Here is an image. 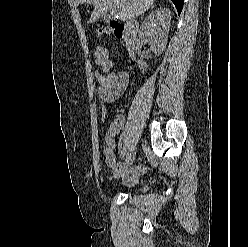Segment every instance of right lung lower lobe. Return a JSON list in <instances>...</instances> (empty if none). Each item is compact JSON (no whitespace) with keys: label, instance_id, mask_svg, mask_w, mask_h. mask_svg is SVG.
<instances>
[{"label":"right lung lower lobe","instance_id":"1","mask_svg":"<svg viewBox=\"0 0 248 247\" xmlns=\"http://www.w3.org/2000/svg\"><path fill=\"white\" fill-rule=\"evenodd\" d=\"M171 1L174 3V5L178 11V14H180L182 11L184 0H171Z\"/></svg>","mask_w":248,"mask_h":247}]
</instances>
